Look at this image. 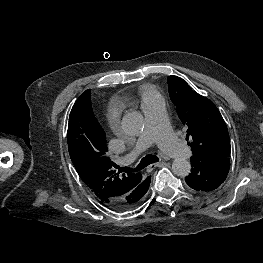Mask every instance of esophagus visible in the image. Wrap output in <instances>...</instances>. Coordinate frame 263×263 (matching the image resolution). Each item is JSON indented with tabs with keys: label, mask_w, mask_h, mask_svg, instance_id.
Segmentation results:
<instances>
[{
	"label": "esophagus",
	"mask_w": 263,
	"mask_h": 263,
	"mask_svg": "<svg viewBox=\"0 0 263 263\" xmlns=\"http://www.w3.org/2000/svg\"><path fill=\"white\" fill-rule=\"evenodd\" d=\"M164 164H165V162H163V161L162 162L153 163V164H151V165H149L147 167V171L150 172V171H152L153 169H155L157 167H162Z\"/></svg>",
	"instance_id": "34e87169"
}]
</instances>
